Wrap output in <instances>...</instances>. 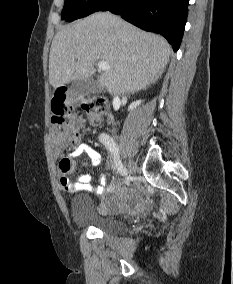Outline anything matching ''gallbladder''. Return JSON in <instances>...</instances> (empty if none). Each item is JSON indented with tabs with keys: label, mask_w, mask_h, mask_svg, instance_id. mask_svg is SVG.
<instances>
[{
	"label": "gallbladder",
	"mask_w": 233,
	"mask_h": 284,
	"mask_svg": "<svg viewBox=\"0 0 233 284\" xmlns=\"http://www.w3.org/2000/svg\"><path fill=\"white\" fill-rule=\"evenodd\" d=\"M99 91V84L93 77L73 80L69 87V94L73 97L87 96L98 93Z\"/></svg>",
	"instance_id": "1"
}]
</instances>
